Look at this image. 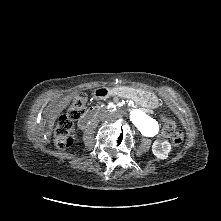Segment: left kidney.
Returning a JSON list of instances; mask_svg holds the SVG:
<instances>
[{"mask_svg":"<svg viewBox=\"0 0 221 221\" xmlns=\"http://www.w3.org/2000/svg\"><path fill=\"white\" fill-rule=\"evenodd\" d=\"M171 151V145L167 140H156L152 145V152L158 159H166Z\"/></svg>","mask_w":221,"mask_h":221,"instance_id":"left-kidney-1","label":"left kidney"}]
</instances>
